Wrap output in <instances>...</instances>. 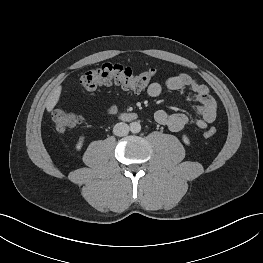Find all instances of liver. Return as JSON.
<instances>
[{
  "mask_svg": "<svg viewBox=\"0 0 263 263\" xmlns=\"http://www.w3.org/2000/svg\"><path fill=\"white\" fill-rule=\"evenodd\" d=\"M61 91H62V86L59 85L55 89H53L52 92L47 97L45 105L48 112H51L53 108L56 106V104L58 103L61 95Z\"/></svg>",
  "mask_w": 263,
  "mask_h": 263,
  "instance_id": "liver-1",
  "label": "liver"
}]
</instances>
